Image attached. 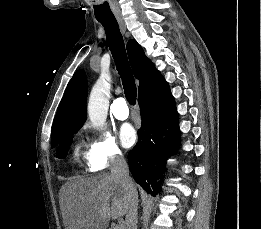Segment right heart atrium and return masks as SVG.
Returning a JSON list of instances; mask_svg holds the SVG:
<instances>
[{"label": "right heart atrium", "instance_id": "obj_1", "mask_svg": "<svg viewBox=\"0 0 261 229\" xmlns=\"http://www.w3.org/2000/svg\"><path fill=\"white\" fill-rule=\"evenodd\" d=\"M123 161V152L114 138L99 133L90 142L87 155V166L90 171H102Z\"/></svg>", "mask_w": 261, "mask_h": 229}]
</instances>
